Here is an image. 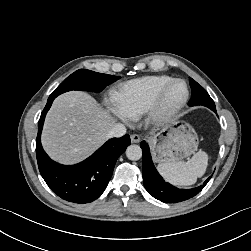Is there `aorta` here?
Wrapping results in <instances>:
<instances>
[{"label":"aorta","mask_w":251,"mask_h":251,"mask_svg":"<svg viewBox=\"0 0 251 251\" xmlns=\"http://www.w3.org/2000/svg\"><path fill=\"white\" fill-rule=\"evenodd\" d=\"M126 156L129 160L137 161L142 157V149L138 145H130L126 149Z\"/></svg>","instance_id":"1"}]
</instances>
